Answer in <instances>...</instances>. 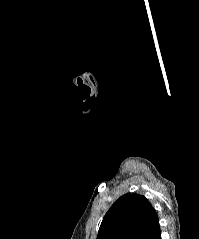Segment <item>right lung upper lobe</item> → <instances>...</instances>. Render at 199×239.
I'll return each instance as SVG.
<instances>
[{
	"instance_id": "obj_1",
	"label": "right lung upper lobe",
	"mask_w": 199,
	"mask_h": 239,
	"mask_svg": "<svg viewBox=\"0 0 199 239\" xmlns=\"http://www.w3.org/2000/svg\"><path fill=\"white\" fill-rule=\"evenodd\" d=\"M158 221L144 196L127 193L108 210L96 239H142Z\"/></svg>"
}]
</instances>
